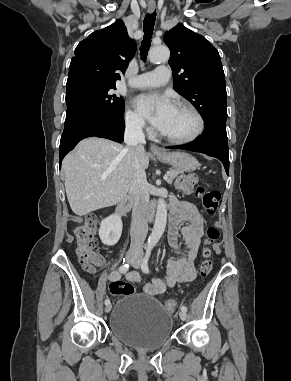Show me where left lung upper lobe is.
<instances>
[{"label": "left lung upper lobe", "instance_id": "1", "mask_svg": "<svg viewBox=\"0 0 291 381\" xmlns=\"http://www.w3.org/2000/svg\"><path fill=\"white\" fill-rule=\"evenodd\" d=\"M171 51L174 89L202 115L205 127L226 126L225 75L216 48L203 36L178 24L164 35ZM182 73L179 74V72Z\"/></svg>", "mask_w": 291, "mask_h": 381}]
</instances>
